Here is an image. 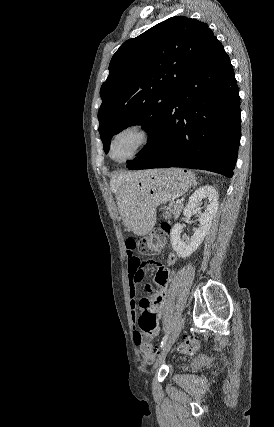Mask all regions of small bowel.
I'll use <instances>...</instances> for the list:
<instances>
[{
    "label": "small bowel",
    "instance_id": "small-bowel-1",
    "mask_svg": "<svg viewBox=\"0 0 274 427\" xmlns=\"http://www.w3.org/2000/svg\"><path fill=\"white\" fill-rule=\"evenodd\" d=\"M124 250L127 253H130L133 250V247L130 244H127L124 247ZM129 259L132 262H136L138 261L139 256L136 253H132L129 256ZM175 259V254L170 252L166 256L163 264L155 265L153 268L154 270L152 271L151 280L147 282V287L149 288L148 290L150 293H140L138 296L140 308L142 310L151 311H141L140 318L137 319V326L142 328V333L137 330L134 332V341L137 345L142 346L146 343L147 339H152L154 336H159L161 333L159 320H162L165 309L164 301L168 294L167 282L171 281V278L168 277V269L174 264ZM149 269V266L146 264L129 263L127 267L129 272L130 306L133 316L137 309L136 286L142 278H146L148 276Z\"/></svg>",
    "mask_w": 274,
    "mask_h": 427
}]
</instances>
